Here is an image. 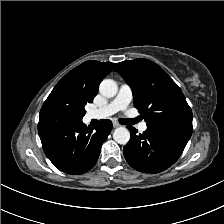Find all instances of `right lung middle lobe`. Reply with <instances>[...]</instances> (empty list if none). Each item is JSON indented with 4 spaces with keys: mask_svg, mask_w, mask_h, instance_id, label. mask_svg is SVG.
<instances>
[{
    "mask_svg": "<svg viewBox=\"0 0 224 224\" xmlns=\"http://www.w3.org/2000/svg\"><path fill=\"white\" fill-rule=\"evenodd\" d=\"M87 103L91 101L84 95L58 82L44 102L40 113H55L81 120L86 113L84 107Z\"/></svg>",
    "mask_w": 224,
    "mask_h": 224,
    "instance_id": "1",
    "label": "right lung middle lobe"
}]
</instances>
